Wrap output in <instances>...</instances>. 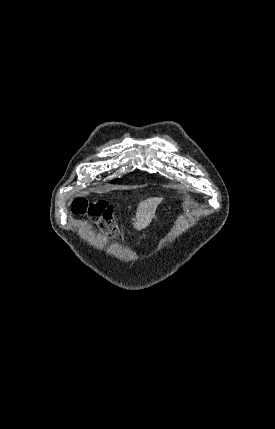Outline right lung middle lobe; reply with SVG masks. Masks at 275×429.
<instances>
[{
    "mask_svg": "<svg viewBox=\"0 0 275 429\" xmlns=\"http://www.w3.org/2000/svg\"><path fill=\"white\" fill-rule=\"evenodd\" d=\"M114 181H115V182H116V181H119V179H116V180H114Z\"/></svg>",
    "mask_w": 275,
    "mask_h": 429,
    "instance_id": "right-lung-middle-lobe-1",
    "label": "right lung middle lobe"
}]
</instances>
